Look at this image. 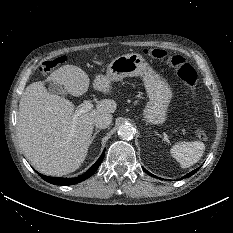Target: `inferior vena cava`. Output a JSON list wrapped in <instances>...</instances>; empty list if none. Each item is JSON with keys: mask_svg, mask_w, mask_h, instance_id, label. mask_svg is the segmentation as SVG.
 Instances as JSON below:
<instances>
[{"mask_svg": "<svg viewBox=\"0 0 233 233\" xmlns=\"http://www.w3.org/2000/svg\"><path fill=\"white\" fill-rule=\"evenodd\" d=\"M111 122L112 116L107 113L100 114L94 119V125L99 129H105L109 127Z\"/></svg>", "mask_w": 233, "mask_h": 233, "instance_id": "obj_1", "label": "inferior vena cava"}]
</instances>
